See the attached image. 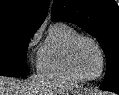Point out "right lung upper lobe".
<instances>
[{"mask_svg":"<svg viewBox=\"0 0 119 95\" xmlns=\"http://www.w3.org/2000/svg\"><path fill=\"white\" fill-rule=\"evenodd\" d=\"M48 5L49 0H0V32L19 26L38 29Z\"/></svg>","mask_w":119,"mask_h":95,"instance_id":"right-lung-upper-lobe-1","label":"right lung upper lobe"}]
</instances>
